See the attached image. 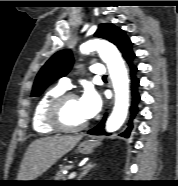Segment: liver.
I'll list each match as a JSON object with an SVG mask.
<instances>
[{"label": "liver", "instance_id": "liver-1", "mask_svg": "<svg viewBox=\"0 0 178 186\" xmlns=\"http://www.w3.org/2000/svg\"><path fill=\"white\" fill-rule=\"evenodd\" d=\"M82 135H55L33 141L21 162L19 181H31L45 173L61 157L71 151Z\"/></svg>", "mask_w": 178, "mask_h": 186}]
</instances>
